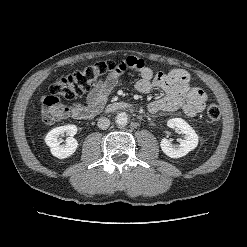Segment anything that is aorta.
Masks as SVG:
<instances>
[{
  "label": "aorta",
  "mask_w": 247,
  "mask_h": 247,
  "mask_svg": "<svg viewBox=\"0 0 247 247\" xmlns=\"http://www.w3.org/2000/svg\"><path fill=\"white\" fill-rule=\"evenodd\" d=\"M115 122L120 126H125L128 123V115L125 112H120L116 115Z\"/></svg>",
  "instance_id": "1"
}]
</instances>
